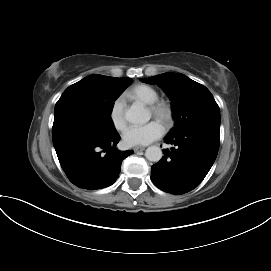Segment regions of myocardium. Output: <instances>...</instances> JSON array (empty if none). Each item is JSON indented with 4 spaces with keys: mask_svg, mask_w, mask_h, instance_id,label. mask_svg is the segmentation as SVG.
Returning a JSON list of instances; mask_svg holds the SVG:
<instances>
[{
    "mask_svg": "<svg viewBox=\"0 0 271 271\" xmlns=\"http://www.w3.org/2000/svg\"><path fill=\"white\" fill-rule=\"evenodd\" d=\"M150 111L152 115L163 122L166 125H169L173 120V111L172 107L164 101H156L150 105Z\"/></svg>",
    "mask_w": 271,
    "mask_h": 271,
    "instance_id": "1",
    "label": "myocardium"
}]
</instances>
